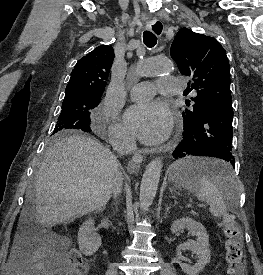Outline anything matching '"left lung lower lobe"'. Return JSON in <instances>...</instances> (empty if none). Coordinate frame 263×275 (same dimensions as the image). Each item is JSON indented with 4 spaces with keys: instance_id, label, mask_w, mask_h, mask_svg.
Masks as SVG:
<instances>
[{
    "instance_id": "0a47b994",
    "label": "left lung lower lobe",
    "mask_w": 263,
    "mask_h": 275,
    "mask_svg": "<svg viewBox=\"0 0 263 275\" xmlns=\"http://www.w3.org/2000/svg\"><path fill=\"white\" fill-rule=\"evenodd\" d=\"M233 108L231 100H222L191 125H184L183 139L175 148L173 158L190 156L216 157L234 166L232 155Z\"/></svg>"
}]
</instances>
